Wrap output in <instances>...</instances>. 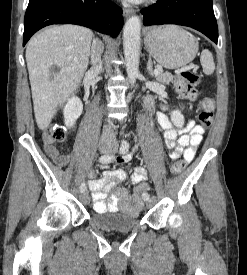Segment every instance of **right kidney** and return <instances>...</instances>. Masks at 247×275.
Masks as SVG:
<instances>
[{
    "label": "right kidney",
    "mask_w": 247,
    "mask_h": 275,
    "mask_svg": "<svg viewBox=\"0 0 247 275\" xmlns=\"http://www.w3.org/2000/svg\"><path fill=\"white\" fill-rule=\"evenodd\" d=\"M83 111V104L81 100L73 96L68 99L64 109V122L68 128H72L75 125L76 120L80 117Z\"/></svg>",
    "instance_id": "1"
}]
</instances>
